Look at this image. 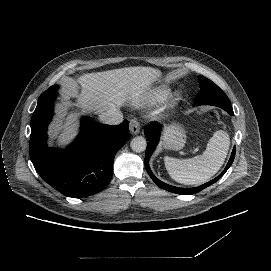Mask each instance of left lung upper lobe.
Returning a JSON list of instances; mask_svg holds the SVG:
<instances>
[{
  "mask_svg": "<svg viewBox=\"0 0 271 271\" xmlns=\"http://www.w3.org/2000/svg\"><path fill=\"white\" fill-rule=\"evenodd\" d=\"M200 91L197 94L194 105H213L224 110H233L226 94L211 80L198 76Z\"/></svg>",
  "mask_w": 271,
  "mask_h": 271,
  "instance_id": "obj_1",
  "label": "left lung upper lobe"
}]
</instances>
